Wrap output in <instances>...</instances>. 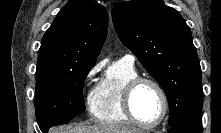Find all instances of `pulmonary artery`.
Wrapping results in <instances>:
<instances>
[{
  "instance_id": "e3ab8cb5",
  "label": "pulmonary artery",
  "mask_w": 221,
  "mask_h": 133,
  "mask_svg": "<svg viewBox=\"0 0 221 133\" xmlns=\"http://www.w3.org/2000/svg\"><path fill=\"white\" fill-rule=\"evenodd\" d=\"M122 59L123 60H125V61H127V62H129V63H131V64H133L134 63V56H132V55H125L124 57H122Z\"/></svg>"
}]
</instances>
